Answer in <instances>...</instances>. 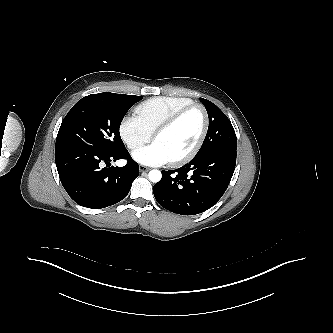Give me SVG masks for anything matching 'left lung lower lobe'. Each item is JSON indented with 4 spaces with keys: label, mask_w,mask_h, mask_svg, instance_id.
<instances>
[{
    "label": "left lung lower lobe",
    "mask_w": 333,
    "mask_h": 333,
    "mask_svg": "<svg viewBox=\"0 0 333 333\" xmlns=\"http://www.w3.org/2000/svg\"><path fill=\"white\" fill-rule=\"evenodd\" d=\"M236 150H211L196 155L177 170L162 171V179L153 187L155 199L165 209L181 215L208 210L230 183L236 165Z\"/></svg>",
    "instance_id": "obj_1"
}]
</instances>
